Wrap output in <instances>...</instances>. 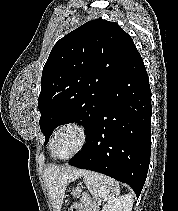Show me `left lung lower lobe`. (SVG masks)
Segmentation results:
<instances>
[{
	"instance_id": "left-lung-lower-lobe-1",
	"label": "left lung lower lobe",
	"mask_w": 178,
	"mask_h": 211,
	"mask_svg": "<svg viewBox=\"0 0 178 211\" xmlns=\"http://www.w3.org/2000/svg\"><path fill=\"white\" fill-rule=\"evenodd\" d=\"M151 114L148 74L136 50L109 88L85 147L68 164L127 183L138 197L150 163Z\"/></svg>"
}]
</instances>
